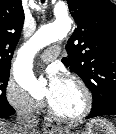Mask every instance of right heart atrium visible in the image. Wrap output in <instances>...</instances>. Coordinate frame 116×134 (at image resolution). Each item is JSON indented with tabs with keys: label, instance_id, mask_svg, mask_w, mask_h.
Masks as SVG:
<instances>
[{
	"label": "right heart atrium",
	"instance_id": "right-heart-atrium-1",
	"mask_svg": "<svg viewBox=\"0 0 116 134\" xmlns=\"http://www.w3.org/2000/svg\"><path fill=\"white\" fill-rule=\"evenodd\" d=\"M4 97L8 105L20 114L35 115L43 108L40 99L32 97L12 79H9L5 85Z\"/></svg>",
	"mask_w": 116,
	"mask_h": 134
}]
</instances>
